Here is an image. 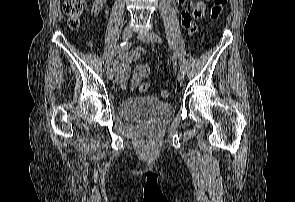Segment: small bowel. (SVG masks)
<instances>
[{
    "instance_id": "1",
    "label": "small bowel",
    "mask_w": 295,
    "mask_h": 202,
    "mask_svg": "<svg viewBox=\"0 0 295 202\" xmlns=\"http://www.w3.org/2000/svg\"><path fill=\"white\" fill-rule=\"evenodd\" d=\"M209 0H196L191 3V10H183L181 13V22L182 26L189 30L193 31L196 28V21L203 17L206 8L207 2ZM107 0H94L92 7H91V15L97 16L103 9L104 5L106 4ZM179 5L182 7L185 5L186 0H178ZM141 53L140 49H132L123 51L120 54L119 60L115 62V70L117 72V83L121 87V89L126 90L127 85L126 81L128 79L130 68L129 63L136 59ZM146 77L143 75H136V70L134 75L131 79V90L136 88L140 85L142 79Z\"/></svg>"
}]
</instances>
